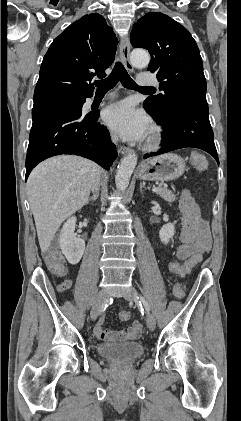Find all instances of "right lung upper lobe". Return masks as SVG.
Here are the masks:
<instances>
[{
	"instance_id": "cb5924a9",
	"label": "right lung upper lobe",
	"mask_w": 241,
	"mask_h": 421,
	"mask_svg": "<svg viewBox=\"0 0 241 421\" xmlns=\"http://www.w3.org/2000/svg\"><path fill=\"white\" fill-rule=\"evenodd\" d=\"M118 40L103 16L85 15L68 26L45 54L34 91V106L93 95L92 78L104 77Z\"/></svg>"
}]
</instances>
